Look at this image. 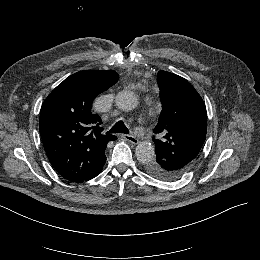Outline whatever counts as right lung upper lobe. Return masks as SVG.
<instances>
[{
  "instance_id": "1",
  "label": "right lung upper lobe",
  "mask_w": 260,
  "mask_h": 260,
  "mask_svg": "<svg viewBox=\"0 0 260 260\" xmlns=\"http://www.w3.org/2000/svg\"><path fill=\"white\" fill-rule=\"evenodd\" d=\"M113 70L77 72L58 85L44 101L39 131L47 157L65 179L83 182L101 173L105 149L117 137L102 134L91 111L94 98L118 81Z\"/></svg>"
}]
</instances>
